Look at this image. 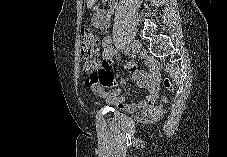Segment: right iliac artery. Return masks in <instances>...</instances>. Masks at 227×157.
<instances>
[{
	"label": "right iliac artery",
	"instance_id": "82829eb1",
	"mask_svg": "<svg viewBox=\"0 0 227 157\" xmlns=\"http://www.w3.org/2000/svg\"><path fill=\"white\" fill-rule=\"evenodd\" d=\"M127 43H128V42H127ZM124 51H125V53H130L131 50H130V48H125Z\"/></svg>",
	"mask_w": 227,
	"mask_h": 157
}]
</instances>
